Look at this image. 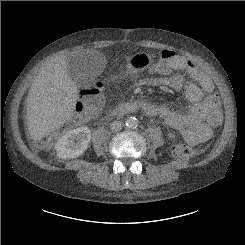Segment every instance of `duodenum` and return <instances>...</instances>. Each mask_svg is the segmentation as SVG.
<instances>
[{
	"mask_svg": "<svg viewBox=\"0 0 245 245\" xmlns=\"http://www.w3.org/2000/svg\"><path fill=\"white\" fill-rule=\"evenodd\" d=\"M147 106H149V104L147 102L141 101V100L126 103V104L122 105L121 107H119L118 109L114 110L113 113L111 114V116L118 118L120 116L129 115L133 112L143 110Z\"/></svg>",
	"mask_w": 245,
	"mask_h": 245,
	"instance_id": "1",
	"label": "duodenum"
}]
</instances>
